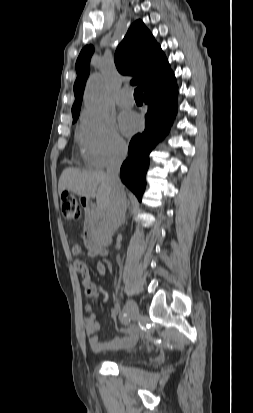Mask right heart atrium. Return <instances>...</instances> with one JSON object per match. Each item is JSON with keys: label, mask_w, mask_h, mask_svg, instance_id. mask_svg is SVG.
Segmentation results:
<instances>
[{"label": "right heart atrium", "mask_w": 253, "mask_h": 413, "mask_svg": "<svg viewBox=\"0 0 253 413\" xmlns=\"http://www.w3.org/2000/svg\"><path fill=\"white\" fill-rule=\"evenodd\" d=\"M78 141L88 165L97 169L121 159L127 148L112 119L89 113L82 117Z\"/></svg>", "instance_id": "1"}]
</instances>
